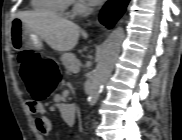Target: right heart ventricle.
Masks as SVG:
<instances>
[{
    "label": "right heart ventricle",
    "mask_w": 182,
    "mask_h": 140,
    "mask_svg": "<svg viewBox=\"0 0 182 140\" xmlns=\"http://www.w3.org/2000/svg\"><path fill=\"white\" fill-rule=\"evenodd\" d=\"M70 0H33V8L41 12L64 15Z\"/></svg>",
    "instance_id": "1"
}]
</instances>
